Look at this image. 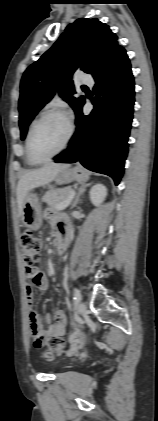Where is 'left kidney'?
I'll return each instance as SVG.
<instances>
[{
  "label": "left kidney",
  "instance_id": "left-kidney-1",
  "mask_svg": "<svg viewBox=\"0 0 158 421\" xmlns=\"http://www.w3.org/2000/svg\"><path fill=\"white\" fill-rule=\"evenodd\" d=\"M89 194L92 204L99 206L107 196V189L102 184H96L91 188Z\"/></svg>",
  "mask_w": 158,
  "mask_h": 421
}]
</instances>
